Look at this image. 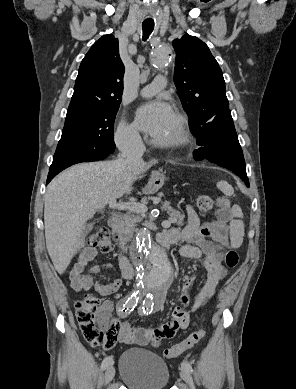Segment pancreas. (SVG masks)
<instances>
[{"label":"pancreas","instance_id":"pancreas-1","mask_svg":"<svg viewBox=\"0 0 296 389\" xmlns=\"http://www.w3.org/2000/svg\"><path fill=\"white\" fill-rule=\"evenodd\" d=\"M161 209L167 211L169 215V221L178 226L184 225V215H182L178 210L170 206L169 203L164 202L161 206ZM141 221V217L138 212L129 211L121 220L118 228L116 229V234L119 237L120 246L123 251L126 250V244L131 240L135 227L138 222Z\"/></svg>","mask_w":296,"mask_h":389}]
</instances>
